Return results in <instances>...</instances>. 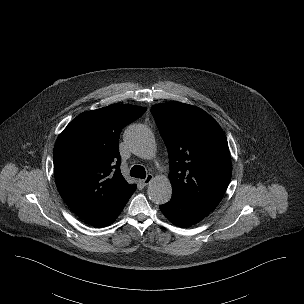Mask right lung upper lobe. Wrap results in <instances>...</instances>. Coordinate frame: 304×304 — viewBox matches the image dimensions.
<instances>
[{
	"label": "right lung upper lobe",
	"instance_id": "right-lung-upper-lobe-1",
	"mask_svg": "<svg viewBox=\"0 0 304 304\" xmlns=\"http://www.w3.org/2000/svg\"><path fill=\"white\" fill-rule=\"evenodd\" d=\"M145 107L121 104L84 112L59 135L53 151L58 191L70 209L93 224L135 185L120 171L119 135Z\"/></svg>",
	"mask_w": 304,
	"mask_h": 304
}]
</instances>
